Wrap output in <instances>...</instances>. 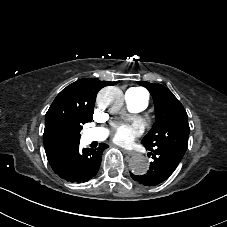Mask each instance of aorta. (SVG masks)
I'll return each instance as SVG.
<instances>
[{
  "label": "aorta",
  "instance_id": "obj_1",
  "mask_svg": "<svg viewBox=\"0 0 227 227\" xmlns=\"http://www.w3.org/2000/svg\"><path fill=\"white\" fill-rule=\"evenodd\" d=\"M123 103V93L117 87L103 88L97 97V104L101 109L121 107ZM129 167L133 174L143 175L149 169V162L143 155H135L129 161Z\"/></svg>",
  "mask_w": 227,
  "mask_h": 227
}]
</instances>
